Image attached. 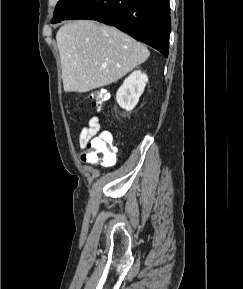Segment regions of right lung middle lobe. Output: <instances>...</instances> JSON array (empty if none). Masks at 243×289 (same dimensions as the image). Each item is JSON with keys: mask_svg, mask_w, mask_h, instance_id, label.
I'll list each match as a JSON object with an SVG mask.
<instances>
[{"mask_svg": "<svg viewBox=\"0 0 243 289\" xmlns=\"http://www.w3.org/2000/svg\"><path fill=\"white\" fill-rule=\"evenodd\" d=\"M83 0H59L56 5L53 19V24L65 20L82 2Z\"/></svg>", "mask_w": 243, "mask_h": 289, "instance_id": "obj_1", "label": "right lung middle lobe"}]
</instances>
